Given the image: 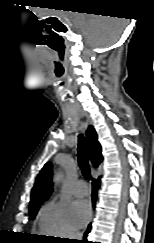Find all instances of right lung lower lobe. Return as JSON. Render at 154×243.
Wrapping results in <instances>:
<instances>
[{
	"label": "right lung lower lobe",
	"mask_w": 154,
	"mask_h": 243,
	"mask_svg": "<svg viewBox=\"0 0 154 243\" xmlns=\"http://www.w3.org/2000/svg\"><path fill=\"white\" fill-rule=\"evenodd\" d=\"M99 186H100V178H98L97 180H93V182H92V201H93V203H95V201L97 199V190H98ZM90 228H91V225L88 226V229L84 234L85 237L88 235ZM74 242H78V241H74ZM79 243H86V241H80Z\"/></svg>",
	"instance_id": "right-lung-lower-lobe-1"
}]
</instances>
